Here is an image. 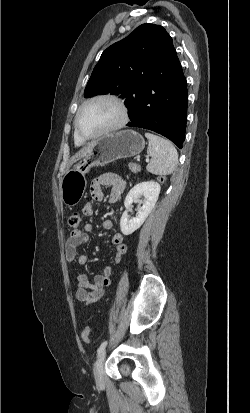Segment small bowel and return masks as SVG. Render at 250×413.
Instances as JSON below:
<instances>
[{"label": "small bowel", "mask_w": 250, "mask_h": 413, "mask_svg": "<svg viewBox=\"0 0 250 413\" xmlns=\"http://www.w3.org/2000/svg\"><path fill=\"white\" fill-rule=\"evenodd\" d=\"M104 187H111L109 196V202L115 204L121 196L125 193L127 183L121 176L113 173H107L95 178L90 187L91 198L96 201H102L104 199ZM83 213L87 216L93 214V206L90 202L86 203L83 207ZM103 228L105 230H112L114 223L111 219H106L103 222ZM94 231V226L90 223L84 225L83 230L74 229L72 234L68 238L65 245V258L67 262L72 263L77 261L78 264L84 265L88 261V257L85 253H78V247L89 240V235ZM111 242L115 247L114 262L116 264L121 263L123 256L127 252V246L124 243L123 235L119 232H115L112 235ZM112 269L110 266H106L102 273L98 274L94 278V283L89 282L88 276L85 273H78L76 275L77 291L76 298L79 302L86 305H92L104 296L107 288L111 284Z\"/></svg>", "instance_id": "c3829d8e"}]
</instances>
